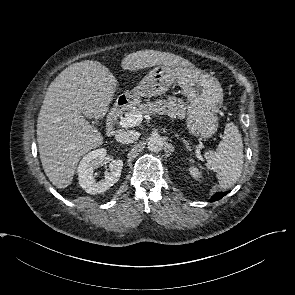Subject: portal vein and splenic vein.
Masks as SVG:
<instances>
[{
    "mask_svg": "<svg viewBox=\"0 0 295 295\" xmlns=\"http://www.w3.org/2000/svg\"><path fill=\"white\" fill-rule=\"evenodd\" d=\"M142 120L143 115L141 113H131L119 122V126L123 128L138 126L141 124Z\"/></svg>",
    "mask_w": 295,
    "mask_h": 295,
    "instance_id": "portal-vein-and-splenic-vein-1",
    "label": "portal vein and splenic vein"
}]
</instances>
